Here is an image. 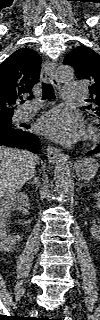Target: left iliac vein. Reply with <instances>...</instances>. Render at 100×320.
Instances as JSON below:
<instances>
[{
	"label": "left iliac vein",
	"instance_id": "left-iliac-vein-1",
	"mask_svg": "<svg viewBox=\"0 0 100 320\" xmlns=\"http://www.w3.org/2000/svg\"><path fill=\"white\" fill-rule=\"evenodd\" d=\"M65 309L68 310V307L66 306Z\"/></svg>",
	"mask_w": 100,
	"mask_h": 320
}]
</instances>
